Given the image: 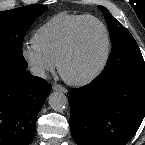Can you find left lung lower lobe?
I'll return each mask as SVG.
<instances>
[{"label": "left lung lower lobe", "mask_w": 145, "mask_h": 145, "mask_svg": "<svg viewBox=\"0 0 145 145\" xmlns=\"http://www.w3.org/2000/svg\"><path fill=\"white\" fill-rule=\"evenodd\" d=\"M78 145H126L145 115V71L114 76L68 92Z\"/></svg>", "instance_id": "0a47b994"}]
</instances>
